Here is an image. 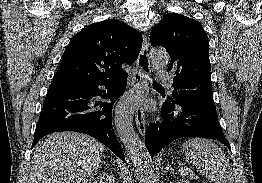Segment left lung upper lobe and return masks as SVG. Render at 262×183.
I'll return each mask as SVG.
<instances>
[{
    "mask_svg": "<svg viewBox=\"0 0 262 183\" xmlns=\"http://www.w3.org/2000/svg\"><path fill=\"white\" fill-rule=\"evenodd\" d=\"M150 40L153 46L165 47L171 57L167 71L176 76L168 101L213 102L208 37L198 21L181 14H167L151 31Z\"/></svg>",
    "mask_w": 262,
    "mask_h": 183,
    "instance_id": "obj_1",
    "label": "left lung upper lobe"
}]
</instances>
